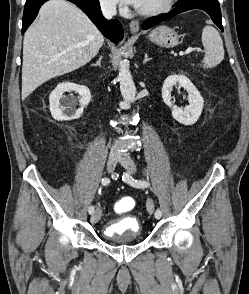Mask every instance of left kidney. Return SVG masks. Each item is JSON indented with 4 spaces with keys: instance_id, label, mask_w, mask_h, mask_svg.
Segmentation results:
<instances>
[{
    "instance_id": "obj_1",
    "label": "left kidney",
    "mask_w": 249,
    "mask_h": 294,
    "mask_svg": "<svg viewBox=\"0 0 249 294\" xmlns=\"http://www.w3.org/2000/svg\"><path fill=\"white\" fill-rule=\"evenodd\" d=\"M176 84L183 87L188 92L189 105L184 109L177 107L171 101V91ZM162 98L164 103L171 107L173 118L184 125H192L196 123L204 106L203 97L189 78L183 74L170 75L165 79L162 87Z\"/></svg>"
}]
</instances>
